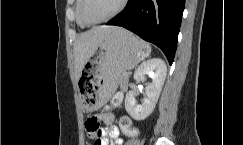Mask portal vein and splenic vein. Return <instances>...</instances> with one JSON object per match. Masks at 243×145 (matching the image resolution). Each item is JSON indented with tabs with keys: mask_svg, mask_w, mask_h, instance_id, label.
Segmentation results:
<instances>
[{
	"mask_svg": "<svg viewBox=\"0 0 243 145\" xmlns=\"http://www.w3.org/2000/svg\"><path fill=\"white\" fill-rule=\"evenodd\" d=\"M124 74L128 76V73H124Z\"/></svg>",
	"mask_w": 243,
	"mask_h": 145,
	"instance_id": "1",
	"label": "portal vein and splenic vein"
}]
</instances>
